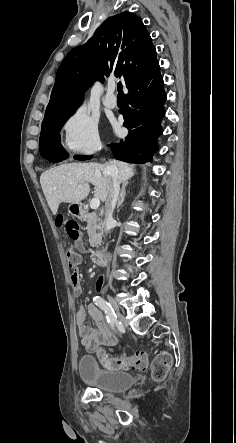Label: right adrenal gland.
Segmentation results:
<instances>
[{
  "mask_svg": "<svg viewBox=\"0 0 236 443\" xmlns=\"http://www.w3.org/2000/svg\"><path fill=\"white\" fill-rule=\"evenodd\" d=\"M128 183H123L122 184V188H121V193H120V197L118 199L117 202V210H119V208L121 207L122 203L124 202L125 199V195H126V187H127Z\"/></svg>",
  "mask_w": 236,
  "mask_h": 443,
  "instance_id": "1",
  "label": "right adrenal gland"
}]
</instances>
